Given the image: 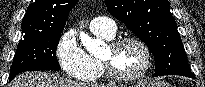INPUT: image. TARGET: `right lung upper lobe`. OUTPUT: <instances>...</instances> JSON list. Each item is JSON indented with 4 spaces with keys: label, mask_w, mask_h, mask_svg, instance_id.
<instances>
[{
    "label": "right lung upper lobe",
    "mask_w": 205,
    "mask_h": 87,
    "mask_svg": "<svg viewBox=\"0 0 205 87\" xmlns=\"http://www.w3.org/2000/svg\"><path fill=\"white\" fill-rule=\"evenodd\" d=\"M78 0H36L22 20L24 34L52 33L64 29L70 10Z\"/></svg>",
    "instance_id": "obj_1"
}]
</instances>
